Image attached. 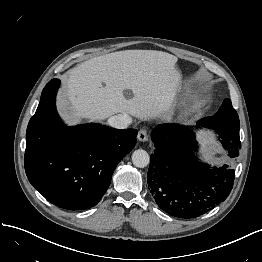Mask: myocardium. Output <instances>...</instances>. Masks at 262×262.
Listing matches in <instances>:
<instances>
[{"instance_id": "myocardium-1", "label": "myocardium", "mask_w": 262, "mask_h": 262, "mask_svg": "<svg viewBox=\"0 0 262 262\" xmlns=\"http://www.w3.org/2000/svg\"><path fill=\"white\" fill-rule=\"evenodd\" d=\"M194 97H195V95H194V93L191 92V91H189V92H187V93L185 94L184 99H183V104H182L183 110H184L185 112H187V111L189 110V108H190V106H191V103H192L193 100H194Z\"/></svg>"}]
</instances>
